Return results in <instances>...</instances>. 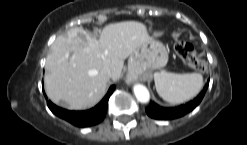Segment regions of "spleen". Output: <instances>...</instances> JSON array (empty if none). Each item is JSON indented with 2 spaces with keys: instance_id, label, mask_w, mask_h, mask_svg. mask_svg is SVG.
<instances>
[{
  "instance_id": "1",
  "label": "spleen",
  "mask_w": 247,
  "mask_h": 145,
  "mask_svg": "<svg viewBox=\"0 0 247 145\" xmlns=\"http://www.w3.org/2000/svg\"><path fill=\"white\" fill-rule=\"evenodd\" d=\"M154 81L159 96L171 103H184L195 97L203 87V77L200 73H168L155 72Z\"/></svg>"
}]
</instances>
